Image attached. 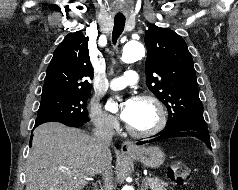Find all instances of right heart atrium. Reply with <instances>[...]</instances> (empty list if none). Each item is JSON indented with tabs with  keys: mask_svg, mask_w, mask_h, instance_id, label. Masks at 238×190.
<instances>
[{
	"mask_svg": "<svg viewBox=\"0 0 238 190\" xmlns=\"http://www.w3.org/2000/svg\"><path fill=\"white\" fill-rule=\"evenodd\" d=\"M88 115L93 125L100 130L113 131L117 127L115 117L103 111L97 103L90 104Z\"/></svg>",
	"mask_w": 238,
	"mask_h": 190,
	"instance_id": "right-heart-atrium-1",
	"label": "right heart atrium"
}]
</instances>
